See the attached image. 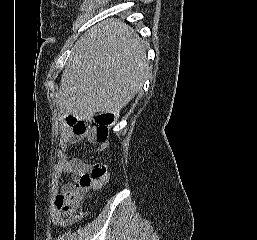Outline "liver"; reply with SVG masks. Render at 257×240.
Returning <instances> with one entry per match:
<instances>
[{
  "label": "liver",
  "instance_id": "6515ba94",
  "mask_svg": "<svg viewBox=\"0 0 257 240\" xmlns=\"http://www.w3.org/2000/svg\"><path fill=\"white\" fill-rule=\"evenodd\" d=\"M147 71L145 46L138 35L118 20L104 21L74 45L56 102L62 114L79 120L98 112L119 116L141 90Z\"/></svg>",
  "mask_w": 257,
  "mask_h": 240
}]
</instances>
